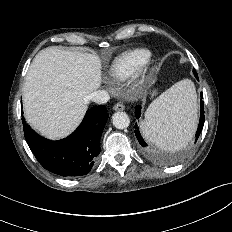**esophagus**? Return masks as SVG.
Listing matches in <instances>:
<instances>
[{
	"instance_id": "obj_1",
	"label": "esophagus",
	"mask_w": 232,
	"mask_h": 232,
	"mask_svg": "<svg viewBox=\"0 0 232 232\" xmlns=\"http://www.w3.org/2000/svg\"><path fill=\"white\" fill-rule=\"evenodd\" d=\"M124 109H125V106L122 103H117L113 107V110L115 111H123Z\"/></svg>"
}]
</instances>
